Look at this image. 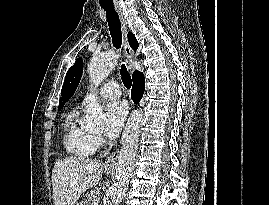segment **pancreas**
Segmentation results:
<instances>
[{"label": "pancreas", "instance_id": "cf45deb5", "mask_svg": "<svg viewBox=\"0 0 269 205\" xmlns=\"http://www.w3.org/2000/svg\"><path fill=\"white\" fill-rule=\"evenodd\" d=\"M88 200L91 201V205H98L99 198L96 195V191L92 190L89 195L87 196Z\"/></svg>", "mask_w": 269, "mask_h": 205}]
</instances>
